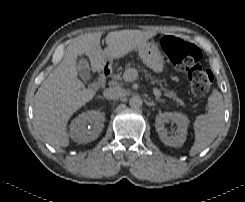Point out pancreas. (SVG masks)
I'll return each instance as SVG.
<instances>
[{"mask_svg": "<svg viewBox=\"0 0 245 202\" xmlns=\"http://www.w3.org/2000/svg\"><path fill=\"white\" fill-rule=\"evenodd\" d=\"M126 69H130L129 66H126ZM147 77H149L151 80H153V82H159L158 80L154 79L153 77H151L150 74H146ZM117 79H121V76L118 74L116 76ZM164 95L170 99H173L174 101H176L177 103H179L180 105H183V101L181 98H179L176 93L174 91H169V90H165L164 89Z\"/></svg>", "mask_w": 245, "mask_h": 202, "instance_id": "cf45deb5", "label": "pancreas"}]
</instances>
